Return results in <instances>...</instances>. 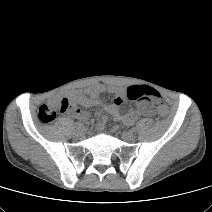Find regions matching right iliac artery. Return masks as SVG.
<instances>
[{
    "mask_svg": "<svg viewBox=\"0 0 212 212\" xmlns=\"http://www.w3.org/2000/svg\"><path fill=\"white\" fill-rule=\"evenodd\" d=\"M74 127H75L76 129H81V128L83 127V124L80 123V122H76L75 125H74Z\"/></svg>",
    "mask_w": 212,
    "mask_h": 212,
    "instance_id": "right-iliac-artery-1",
    "label": "right iliac artery"
}]
</instances>
